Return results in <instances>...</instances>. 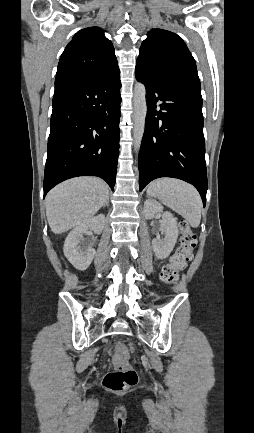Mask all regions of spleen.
Here are the masks:
<instances>
[{
    "label": "spleen",
    "instance_id": "spleen-1",
    "mask_svg": "<svg viewBox=\"0 0 254 433\" xmlns=\"http://www.w3.org/2000/svg\"><path fill=\"white\" fill-rule=\"evenodd\" d=\"M147 194L158 198L164 205L180 214L191 227L199 226L202 200L192 185L178 179L161 178L148 186Z\"/></svg>",
    "mask_w": 254,
    "mask_h": 433
}]
</instances>
